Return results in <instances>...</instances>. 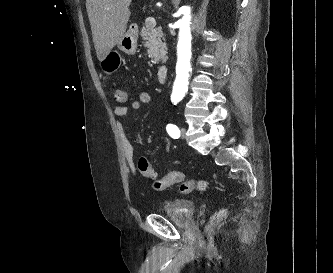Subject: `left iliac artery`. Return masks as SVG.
Listing matches in <instances>:
<instances>
[{
    "mask_svg": "<svg viewBox=\"0 0 333 273\" xmlns=\"http://www.w3.org/2000/svg\"><path fill=\"white\" fill-rule=\"evenodd\" d=\"M166 130L172 138L176 139V138L180 137V130L176 125L168 124L166 127Z\"/></svg>",
    "mask_w": 333,
    "mask_h": 273,
    "instance_id": "44dca946",
    "label": "left iliac artery"
}]
</instances>
